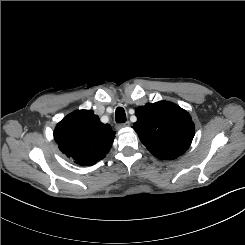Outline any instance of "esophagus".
Segmentation results:
<instances>
[{
  "label": "esophagus",
  "mask_w": 245,
  "mask_h": 245,
  "mask_svg": "<svg viewBox=\"0 0 245 245\" xmlns=\"http://www.w3.org/2000/svg\"><path fill=\"white\" fill-rule=\"evenodd\" d=\"M129 124H130L129 121L124 122V123H120V124L117 125V128L127 127V126H129Z\"/></svg>",
  "instance_id": "obj_1"
}]
</instances>
